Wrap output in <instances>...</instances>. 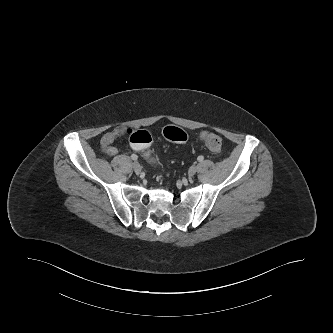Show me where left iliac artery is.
<instances>
[{
    "label": "left iliac artery",
    "instance_id": "1",
    "mask_svg": "<svg viewBox=\"0 0 333 333\" xmlns=\"http://www.w3.org/2000/svg\"><path fill=\"white\" fill-rule=\"evenodd\" d=\"M197 159H198L199 162H201V161H203L204 157L203 156H199Z\"/></svg>",
    "mask_w": 333,
    "mask_h": 333
}]
</instances>
